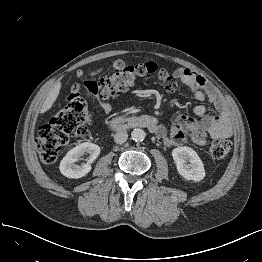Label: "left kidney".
<instances>
[{"mask_svg": "<svg viewBox=\"0 0 262 262\" xmlns=\"http://www.w3.org/2000/svg\"><path fill=\"white\" fill-rule=\"evenodd\" d=\"M172 157L178 173L184 179L197 182L205 177L203 162L198 154L190 147L184 146L173 149Z\"/></svg>", "mask_w": 262, "mask_h": 262, "instance_id": "obj_1", "label": "left kidney"}]
</instances>
